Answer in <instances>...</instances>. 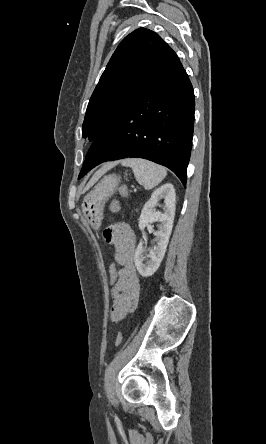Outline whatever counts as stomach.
<instances>
[{
  "label": "stomach",
  "mask_w": 266,
  "mask_h": 444,
  "mask_svg": "<svg viewBox=\"0 0 266 444\" xmlns=\"http://www.w3.org/2000/svg\"><path fill=\"white\" fill-rule=\"evenodd\" d=\"M119 183L120 177L115 174L104 176L94 189L85 196L82 203V212L90 225L100 226L104 205L115 193Z\"/></svg>",
  "instance_id": "stomach-1"
}]
</instances>
